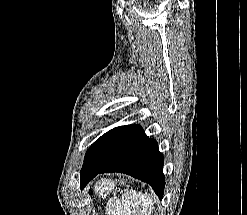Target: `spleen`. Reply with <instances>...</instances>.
<instances>
[{"mask_svg":"<svg viewBox=\"0 0 247 215\" xmlns=\"http://www.w3.org/2000/svg\"><path fill=\"white\" fill-rule=\"evenodd\" d=\"M100 187H96L98 191ZM154 200L147 192L142 194L134 190L125 192L121 200L111 198L107 204L108 215H151Z\"/></svg>","mask_w":247,"mask_h":215,"instance_id":"obj_1","label":"spleen"}]
</instances>
